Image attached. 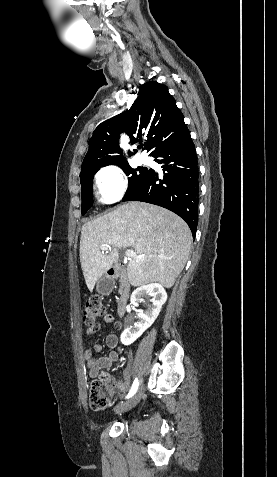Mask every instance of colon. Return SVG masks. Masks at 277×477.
<instances>
[{
  "label": "colon",
  "instance_id": "5ec220e1",
  "mask_svg": "<svg viewBox=\"0 0 277 477\" xmlns=\"http://www.w3.org/2000/svg\"><path fill=\"white\" fill-rule=\"evenodd\" d=\"M104 315V307L96 296L90 297L85 304L82 319L89 327L96 324ZM115 402V395L106 375H101L90 384L89 405L94 411H103Z\"/></svg>",
  "mask_w": 277,
  "mask_h": 477
}]
</instances>
